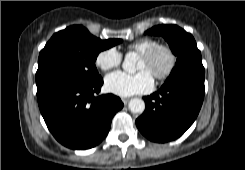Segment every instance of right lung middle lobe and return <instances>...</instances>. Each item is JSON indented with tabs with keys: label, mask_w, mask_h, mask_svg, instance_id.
<instances>
[{
	"label": "right lung middle lobe",
	"mask_w": 245,
	"mask_h": 170,
	"mask_svg": "<svg viewBox=\"0 0 245 170\" xmlns=\"http://www.w3.org/2000/svg\"><path fill=\"white\" fill-rule=\"evenodd\" d=\"M121 39L101 40L80 25L55 33L42 49L36 72L37 97L63 86H81L101 79L98 54Z\"/></svg>",
	"instance_id": "right-lung-middle-lobe-1"
}]
</instances>
